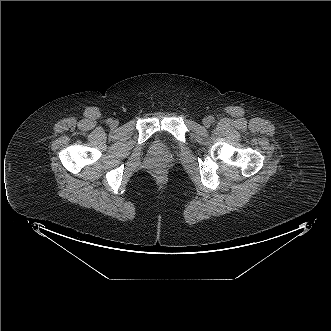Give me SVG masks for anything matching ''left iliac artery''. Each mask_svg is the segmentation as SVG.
<instances>
[{
    "label": "left iliac artery",
    "instance_id": "obj_1",
    "mask_svg": "<svg viewBox=\"0 0 331 331\" xmlns=\"http://www.w3.org/2000/svg\"><path fill=\"white\" fill-rule=\"evenodd\" d=\"M214 120V117L210 116V121L213 122Z\"/></svg>",
    "mask_w": 331,
    "mask_h": 331
}]
</instances>
